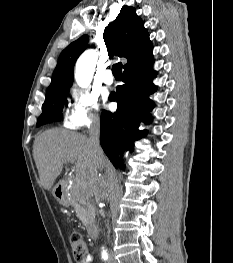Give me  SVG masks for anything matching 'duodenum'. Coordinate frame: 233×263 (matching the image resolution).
Here are the masks:
<instances>
[{
	"label": "duodenum",
	"mask_w": 233,
	"mask_h": 263,
	"mask_svg": "<svg viewBox=\"0 0 233 263\" xmlns=\"http://www.w3.org/2000/svg\"><path fill=\"white\" fill-rule=\"evenodd\" d=\"M60 199H63V196L61 195V193L59 194ZM89 235L90 237L95 240L98 238V231H97V227L95 225H91L89 227Z\"/></svg>",
	"instance_id": "duodenum-1"
}]
</instances>
